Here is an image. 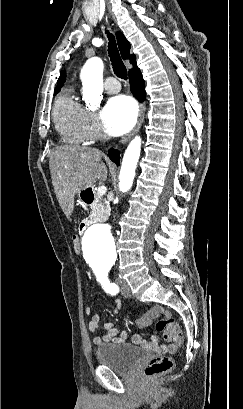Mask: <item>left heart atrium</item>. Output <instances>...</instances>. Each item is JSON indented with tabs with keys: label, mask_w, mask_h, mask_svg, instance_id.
<instances>
[{
	"label": "left heart atrium",
	"mask_w": 243,
	"mask_h": 409,
	"mask_svg": "<svg viewBox=\"0 0 243 409\" xmlns=\"http://www.w3.org/2000/svg\"><path fill=\"white\" fill-rule=\"evenodd\" d=\"M104 130L112 136L128 132L135 124L137 106L133 99L125 95L112 97L101 111Z\"/></svg>",
	"instance_id": "left-heart-atrium-1"
}]
</instances>
